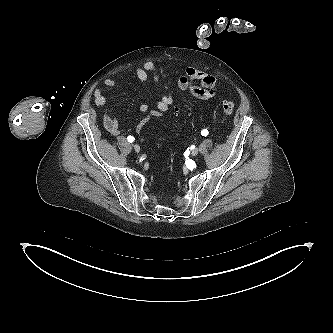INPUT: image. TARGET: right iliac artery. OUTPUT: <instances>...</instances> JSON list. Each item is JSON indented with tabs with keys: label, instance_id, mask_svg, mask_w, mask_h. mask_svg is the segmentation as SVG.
<instances>
[{
	"label": "right iliac artery",
	"instance_id": "obj_1",
	"mask_svg": "<svg viewBox=\"0 0 333 333\" xmlns=\"http://www.w3.org/2000/svg\"><path fill=\"white\" fill-rule=\"evenodd\" d=\"M134 137L133 136H128L127 137V141L129 142V143H132V142H134Z\"/></svg>",
	"mask_w": 333,
	"mask_h": 333
}]
</instances>
